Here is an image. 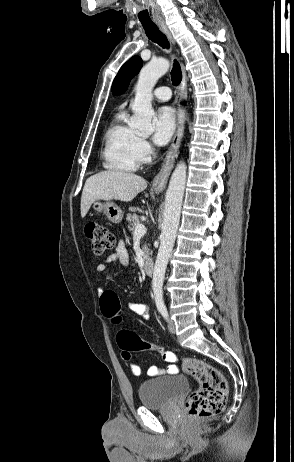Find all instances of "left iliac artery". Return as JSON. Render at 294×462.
Returning a JSON list of instances; mask_svg holds the SVG:
<instances>
[{
    "label": "left iliac artery",
    "mask_w": 294,
    "mask_h": 462,
    "mask_svg": "<svg viewBox=\"0 0 294 462\" xmlns=\"http://www.w3.org/2000/svg\"><path fill=\"white\" fill-rule=\"evenodd\" d=\"M159 312L166 320H168V311L165 306L159 307Z\"/></svg>",
    "instance_id": "left-iliac-artery-1"
}]
</instances>
